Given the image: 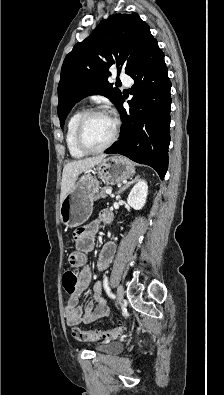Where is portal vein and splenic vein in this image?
<instances>
[{"instance_id":"portal-vein-and-splenic-vein-1","label":"portal vein and splenic vein","mask_w":224,"mask_h":395,"mask_svg":"<svg viewBox=\"0 0 224 395\" xmlns=\"http://www.w3.org/2000/svg\"><path fill=\"white\" fill-rule=\"evenodd\" d=\"M106 193L109 194V195H111V194H112V190H111V189H107V190H106Z\"/></svg>"}]
</instances>
